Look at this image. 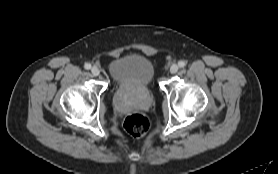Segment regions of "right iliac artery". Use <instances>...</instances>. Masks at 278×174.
Returning <instances> with one entry per match:
<instances>
[{
  "mask_svg": "<svg viewBox=\"0 0 278 174\" xmlns=\"http://www.w3.org/2000/svg\"><path fill=\"white\" fill-rule=\"evenodd\" d=\"M84 68L89 70L91 68V64L90 63H85Z\"/></svg>",
  "mask_w": 278,
  "mask_h": 174,
  "instance_id": "obj_1",
  "label": "right iliac artery"
}]
</instances>
